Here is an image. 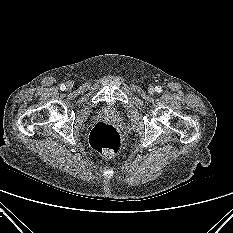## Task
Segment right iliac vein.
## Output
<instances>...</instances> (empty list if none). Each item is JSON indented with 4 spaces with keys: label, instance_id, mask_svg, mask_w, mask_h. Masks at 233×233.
Returning a JSON list of instances; mask_svg holds the SVG:
<instances>
[{
    "label": "right iliac vein",
    "instance_id": "1",
    "mask_svg": "<svg viewBox=\"0 0 233 233\" xmlns=\"http://www.w3.org/2000/svg\"><path fill=\"white\" fill-rule=\"evenodd\" d=\"M66 86H67V89L70 90L72 88L73 84H72V82H67Z\"/></svg>",
    "mask_w": 233,
    "mask_h": 233
}]
</instances>
